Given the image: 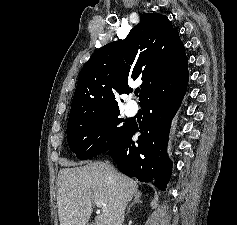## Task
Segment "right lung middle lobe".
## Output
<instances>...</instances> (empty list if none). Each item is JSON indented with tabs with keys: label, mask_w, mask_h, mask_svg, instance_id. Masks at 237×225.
Here are the masks:
<instances>
[{
	"label": "right lung middle lobe",
	"mask_w": 237,
	"mask_h": 225,
	"mask_svg": "<svg viewBox=\"0 0 237 225\" xmlns=\"http://www.w3.org/2000/svg\"><path fill=\"white\" fill-rule=\"evenodd\" d=\"M128 125L129 122L119 117L118 109L108 110L82 121L69 119V148L78 159H90L110 149Z\"/></svg>",
	"instance_id": "1"
}]
</instances>
